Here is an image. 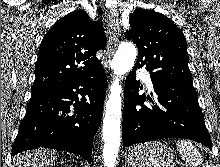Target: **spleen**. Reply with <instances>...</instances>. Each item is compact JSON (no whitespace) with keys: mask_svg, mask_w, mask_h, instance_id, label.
I'll use <instances>...</instances> for the list:
<instances>
[{"mask_svg":"<svg viewBox=\"0 0 220 167\" xmlns=\"http://www.w3.org/2000/svg\"><path fill=\"white\" fill-rule=\"evenodd\" d=\"M177 150L179 151L181 158L186 160L192 167H197L203 163V158L198 149L189 140H178Z\"/></svg>","mask_w":220,"mask_h":167,"instance_id":"3e777b00","label":"spleen"}]
</instances>
